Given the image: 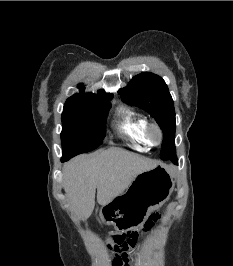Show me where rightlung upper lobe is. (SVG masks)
Wrapping results in <instances>:
<instances>
[{"instance_id":"right-lung-upper-lobe-1","label":"right lung upper lobe","mask_w":233,"mask_h":266,"mask_svg":"<svg viewBox=\"0 0 233 266\" xmlns=\"http://www.w3.org/2000/svg\"><path fill=\"white\" fill-rule=\"evenodd\" d=\"M112 97L111 94H106L105 91L103 90H99L98 91V96L92 93H88V94H75L72 97H70L66 103H74V102H78V101H82V100H88V99H105V98H109Z\"/></svg>"}]
</instances>
